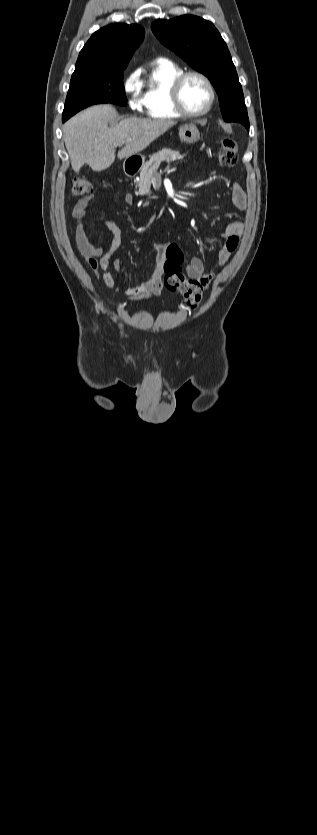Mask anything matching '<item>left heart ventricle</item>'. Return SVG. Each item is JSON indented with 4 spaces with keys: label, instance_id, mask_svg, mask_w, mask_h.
Returning <instances> with one entry per match:
<instances>
[{
    "label": "left heart ventricle",
    "instance_id": "1",
    "mask_svg": "<svg viewBox=\"0 0 317 835\" xmlns=\"http://www.w3.org/2000/svg\"><path fill=\"white\" fill-rule=\"evenodd\" d=\"M210 99V92L203 80L198 77H189L182 89V101L184 106L191 112L203 110Z\"/></svg>",
    "mask_w": 317,
    "mask_h": 835
}]
</instances>
